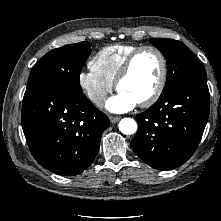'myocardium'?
I'll use <instances>...</instances> for the list:
<instances>
[{"mask_svg": "<svg viewBox=\"0 0 221 221\" xmlns=\"http://www.w3.org/2000/svg\"><path fill=\"white\" fill-rule=\"evenodd\" d=\"M145 51H153L154 53H156V55L159 57L160 63H161L160 77H159V81H158V84H157L155 90L152 92V94L148 98H146L145 100H143L142 102L139 103V105L142 107H149L159 100V98L161 97V95L165 89L166 82H167L168 64H167V60H166L164 53L159 48L152 46V45H144V46H140L139 48L134 50L127 57L121 70L119 71V73L116 77V80H115V87L119 91V85L131 73V70H132L135 60L137 59V57L141 53H143Z\"/></svg>", "mask_w": 221, "mask_h": 221, "instance_id": "f54148a6", "label": "myocardium"}]
</instances>
